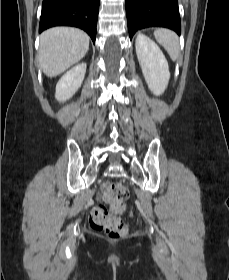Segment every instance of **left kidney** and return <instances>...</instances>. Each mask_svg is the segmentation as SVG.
I'll use <instances>...</instances> for the list:
<instances>
[{
    "instance_id": "obj_1",
    "label": "left kidney",
    "mask_w": 229,
    "mask_h": 280,
    "mask_svg": "<svg viewBox=\"0 0 229 280\" xmlns=\"http://www.w3.org/2000/svg\"><path fill=\"white\" fill-rule=\"evenodd\" d=\"M136 54L150 91L160 96L164 93L170 72L161 49L146 35L139 34L135 41Z\"/></svg>"
}]
</instances>
